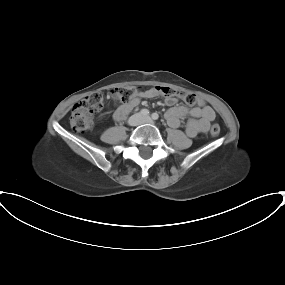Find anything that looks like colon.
Wrapping results in <instances>:
<instances>
[{
	"label": "colon",
	"instance_id": "obj_1",
	"mask_svg": "<svg viewBox=\"0 0 285 285\" xmlns=\"http://www.w3.org/2000/svg\"><path fill=\"white\" fill-rule=\"evenodd\" d=\"M154 89L166 97L176 96L189 106L197 107L200 104V100L192 92L167 86H156ZM136 92L137 89L132 86L116 87L110 90L107 97L114 102L126 103L134 97ZM104 105L105 96L102 92H94L77 103L73 107L69 119L73 130L77 133H84L91 129L95 115L103 110ZM220 131L221 128L217 123H214L210 128L212 136H218Z\"/></svg>",
	"mask_w": 285,
	"mask_h": 285
}]
</instances>
